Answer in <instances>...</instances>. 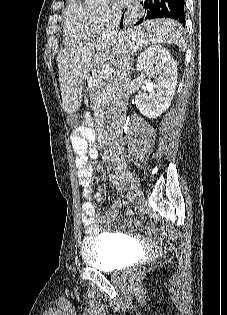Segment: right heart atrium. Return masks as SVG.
Wrapping results in <instances>:
<instances>
[{"instance_id": "right-heart-atrium-1", "label": "right heart atrium", "mask_w": 227, "mask_h": 315, "mask_svg": "<svg viewBox=\"0 0 227 315\" xmlns=\"http://www.w3.org/2000/svg\"><path fill=\"white\" fill-rule=\"evenodd\" d=\"M119 14L120 10L114 5H109L96 11V16L101 28L106 27L112 21L117 19L119 17Z\"/></svg>"}]
</instances>
